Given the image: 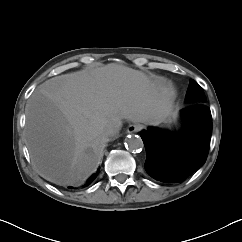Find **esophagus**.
Wrapping results in <instances>:
<instances>
[{
    "label": "esophagus",
    "instance_id": "obj_1",
    "mask_svg": "<svg viewBox=\"0 0 242 242\" xmlns=\"http://www.w3.org/2000/svg\"><path fill=\"white\" fill-rule=\"evenodd\" d=\"M141 129H142V126L139 124H130L127 127V133H131V134L136 133V132H139Z\"/></svg>",
    "mask_w": 242,
    "mask_h": 242
}]
</instances>
